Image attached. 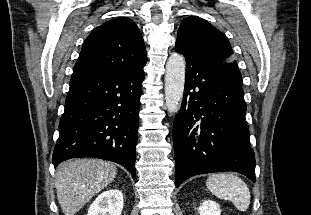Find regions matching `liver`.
<instances>
[{
	"label": "liver",
	"instance_id": "1",
	"mask_svg": "<svg viewBox=\"0 0 311 215\" xmlns=\"http://www.w3.org/2000/svg\"><path fill=\"white\" fill-rule=\"evenodd\" d=\"M116 175V166L101 159L78 158L60 164L55 174V188L63 213L76 214Z\"/></svg>",
	"mask_w": 311,
	"mask_h": 215
}]
</instances>
